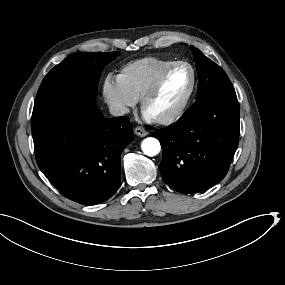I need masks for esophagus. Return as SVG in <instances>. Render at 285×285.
I'll list each match as a JSON object with an SVG mask.
<instances>
[{"mask_svg":"<svg viewBox=\"0 0 285 285\" xmlns=\"http://www.w3.org/2000/svg\"><path fill=\"white\" fill-rule=\"evenodd\" d=\"M134 133L139 137H145L148 135V132L141 126H137L134 130Z\"/></svg>","mask_w":285,"mask_h":285,"instance_id":"1","label":"esophagus"}]
</instances>
